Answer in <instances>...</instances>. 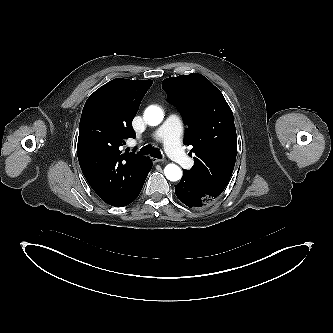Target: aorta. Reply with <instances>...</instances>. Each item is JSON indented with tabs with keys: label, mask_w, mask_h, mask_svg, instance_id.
Returning a JSON list of instances; mask_svg holds the SVG:
<instances>
[{
	"label": "aorta",
	"mask_w": 333,
	"mask_h": 333,
	"mask_svg": "<svg viewBox=\"0 0 333 333\" xmlns=\"http://www.w3.org/2000/svg\"><path fill=\"white\" fill-rule=\"evenodd\" d=\"M146 122L151 126H157L163 120V111L157 106H149L144 113ZM165 176L170 181H178L182 177V170L175 164H168L164 169Z\"/></svg>",
	"instance_id": "aorta-1"
}]
</instances>
